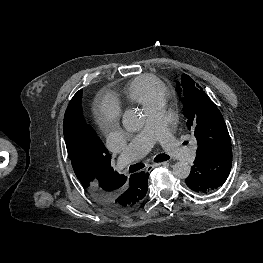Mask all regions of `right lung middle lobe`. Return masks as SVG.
Returning <instances> with one entry per match:
<instances>
[{
    "label": "right lung middle lobe",
    "mask_w": 263,
    "mask_h": 263,
    "mask_svg": "<svg viewBox=\"0 0 263 263\" xmlns=\"http://www.w3.org/2000/svg\"><path fill=\"white\" fill-rule=\"evenodd\" d=\"M82 91H78L77 98L74 101L72 107L66 110V123L82 132L87 130L88 125L85 123L81 107Z\"/></svg>",
    "instance_id": "dd1d6c3e"
}]
</instances>
